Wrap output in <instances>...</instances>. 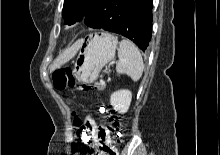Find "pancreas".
Listing matches in <instances>:
<instances>
[{
    "label": "pancreas",
    "mask_w": 220,
    "mask_h": 155,
    "mask_svg": "<svg viewBox=\"0 0 220 155\" xmlns=\"http://www.w3.org/2000/svg\"><path fill=\"white\" fill-rule=\"evenodd\" d=\"M97 88H98V90H103L104 89V85L98 84Z\"/></svg>",
    "instance_id": "cf45deb5"
}]
</instances>
